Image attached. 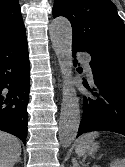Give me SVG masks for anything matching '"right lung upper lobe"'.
Instances as JSON below:
<instances>
[{
    "mask_svg": "<svg viewBox=\"0 0 125 167\" xmlns=\"http://www.w3.org/2000/svg\"><path fill=\"white\" fill-rule=\"evenodd\" d=\"M25 34L18 0H0V42Z\"/></svg>",
    "mask_w": 125,
    "mask_h": 167,
    "instance_id": "cb5924a9",
    "label": "right lung upper lobe"
}]
</instances>
